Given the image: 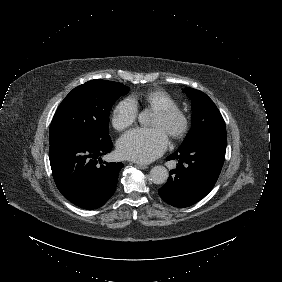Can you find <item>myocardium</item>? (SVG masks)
<instances>
[{
    "mask_svg": "<svg viewBox=\"0 0 282 282\" xmlns=\"http://www.w3.org/2000/svg\"><path fill=\"white\" fill-rule=\"evenodd\" d=\"M155 113L164 121L165 131L171 138H180L188 127L187 117L177 108H162Z\"/></svg>",
    "mask_w": 282,
    "mask_h": 282,
    "instance_id": "obj_1",
    "label": "myocardium"
}]
</instances>
